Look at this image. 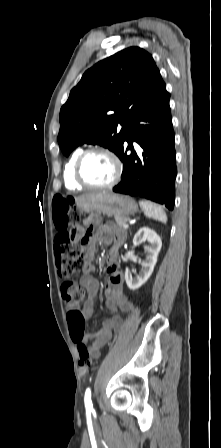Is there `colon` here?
I'll return each instance as SVG.
<instances>
[{
  "label": "colon",
  "mask_w": 221,
  "mask_h": 448,
  "mask_svg": "<svg viewBox=\"0 0 221 448\" xmlns=\"http://www.w3.org/2000/svg\"><path fill=\"white\" fill-rule=\"evenodd\" d=\"M74 199L69 196L58 195L53 200V222L58 232L54 247L56 266L60 277L64 279L62 284V296L66 305L71 309L68 314L70 336L79 344L81 366H90L91 355L82 344L85 336V320L76 311L84 298L85 290L76 285L74 277L86 269V255L78 246L88 242L87 237L75 231V226L80 222L81 214L73 207ZM72 227V228H70Z\"/></svg>",
  "instance_id": "obj_1"
}]
</instances>
